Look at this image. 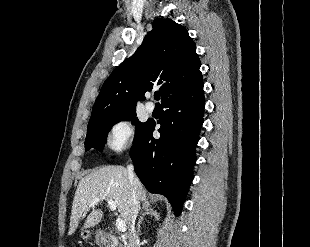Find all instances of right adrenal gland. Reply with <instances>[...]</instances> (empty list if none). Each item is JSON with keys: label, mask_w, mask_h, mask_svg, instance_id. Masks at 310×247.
Returning a JSON list of instances; mask_svg holds the SVG:
<instances>
[{"label": "right adrenal gland", "mask_w": 310, "mask_h": 247, "mask_svg": "<svg viewBox=\"0 0 310 247\" xmlns=\"http://www.w3.org/2000/svg\"><path fill=\"white\" fill-rule=\"evenodd\" d=\"M146 215H150L151 217H154L155 220L160 219L159 213L156 210H154V208L150 207L149 205H144L143 206V212L139 218V222L137 225V232L138 233L140 232L141 224L144 220V216H146Z\"/></svg>", "instance_id": "right-adrenal-gland-1"}]
</instances>
